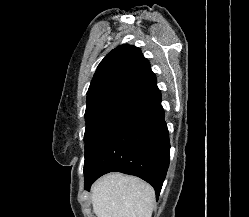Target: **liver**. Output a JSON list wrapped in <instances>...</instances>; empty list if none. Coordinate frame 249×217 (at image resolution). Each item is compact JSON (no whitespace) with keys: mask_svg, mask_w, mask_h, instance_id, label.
<instances>
[{"mask_svg":"<svg viewBox=\"0 0 249 217\" xmlns=\"http://www.w3.org/2000/svg\"><path fill=\"white\" fill-rule=\"evenodd\" d=\"M91 200L96 217H151L155 191L139 178L112 173L94 184Z\"/></svg>","mask_w":249,"mask_h":217,"instance_id":"obj_1","label":"liver"}]
</instances>
